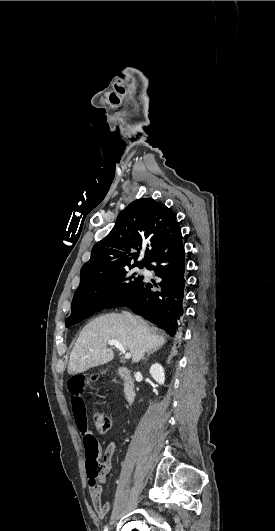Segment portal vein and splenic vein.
Listing matches in <instances>:
<instances>
[{
	"mask_svg": "<svg viewBox=\"0 0 275 531\" xmlns=\"http://www.w3.org/2000/svg\"><path fill=\"white\" fill-rule=\"evenodd\" d=\"M108 345H110V347H116V349H119V351L123 353L125 359H131L132 357L131 353H126L123 345H121L119 341H114V339H112V341H108ZM90 351H93V349H90Z\"/></svg>",
	"mask_w": 275,
	"mask_h": 531,
	"instance_id": "18ae733b",
	"label": "portal vein and splenic vein"
}]
</instances>
